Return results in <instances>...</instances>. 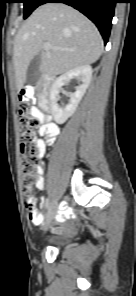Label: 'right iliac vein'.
<instances>
[{"label": "right iliac vein", "mask_w": 136, "mask_h": 296, "mask_svg": "<svg viewBox=\"0 0 136 296\" xmlns=\"http://www.w3.org/2000/svg\"><path fill=\"white\" fill-rule=\"evenodd\" d=\"M56 208H57V204L55 201H53L50 204V207L48 209V213H47V217H46V222H45V226H44V231H46L48 229V227L50 226V224L52 223V220L56 214Z\"/></svg>", "instance_id": "obj_1"}]
</instances>
